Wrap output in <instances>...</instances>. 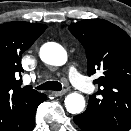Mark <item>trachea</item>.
<instances>
[{
  "mask_svg": "<svg viewBox=\"0 0 131 131\" xmlns=\"http://www.w3.org/2000/svg\"><path fill=\"white\" fill-rule=\"evenodd\" d=\"M39 90H54L60 91L62 90V85L58 81H47L36 87Z\"/></svg>",
  "mask_w": 131,
  "mask_h": 131,
  "instance_id": "1",
  "label": "trachea"
}]
</instances>
